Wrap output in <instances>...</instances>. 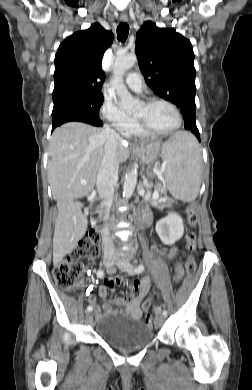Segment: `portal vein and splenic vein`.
<instances>
[{
	"label": "portal vein and splenic vein",
	"mask_w": 252,
	"mask_h": 390,
	"mask_svg": "<svg viewBox=\"0 0 252 390\" xmlns=\"http://www.w3.org/2000/svg\"><path fill=\"white\" fill-rule=\"evenodd\" d=\"M153 171H154L156 174H160V173H161L160 171L155 170V169H154ZM81 184L84 185V184H86V182H85L84 180H82V181H81ZM145 184H146L147 186H150V185L147 183V181H145ZM153 198H154V199H158V198H159V194H158L157 192L154 193V194H153Z\"/></svg>",
	"instance_id": "18ae733b"
}]
</instances>
